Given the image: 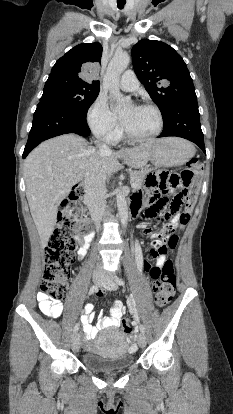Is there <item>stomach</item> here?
Instances as JSON below:
<instances>
[{
    "label": "stomach",
    "instance_id": "0dacf381",
    "mask_svg": "<svg viewBox=\"0 0 233 414\" xmlns=\"http://www.w3.org/2000/svg\"><path fill=\"white\" fill-rule=\"evenodd\" d=\"M195 154L194 146L179 138L154 141L150 160L155 167H174L185 164Z\"/></svg>",
    "mask_w": 233,
    "mask_h": 414
}]
</instances>
